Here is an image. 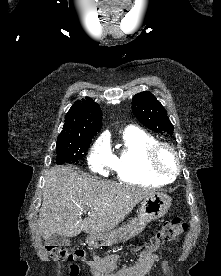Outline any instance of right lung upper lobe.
I'll return each instance as SVG.
<instances>
[{
    "mask_svg": "<svg viewBox=\"0 0 221 276\" xmlns=\"http://www.w3.org/2000/svg\"><path fill=\"white\" fill-rule=\"evenodd\" d=\"M102 113L90 97L77 100L65 115L63 131L57 141L92 139L102 126Z\"/></svg>",
    "mask_w": 221,
    "mask_h": 276,
    "instance_id": "cb5924a9",
    "label": "right lung upper lobe"
}]
</instances>
